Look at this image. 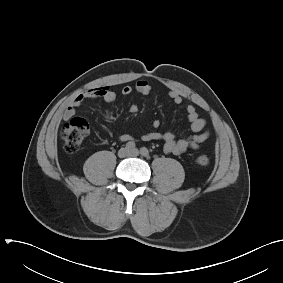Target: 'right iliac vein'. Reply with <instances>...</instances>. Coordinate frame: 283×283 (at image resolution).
<instances>
[{"mask_svg": "<svg viewBox=\"0 0 283 283\" xmlns=\"http://www.w3.org/2000/svg\"><path fill=\"white\" fill-rule=\"evenodd\" d=\"M129 150L127 148H121L119 151H118V156L119 157H126L129 155Z\"/></svg>", "mask_w": 283, "mask_h": 283, "instance_id": "obj_1", "label": "right iliac vein"}]
</instances>
